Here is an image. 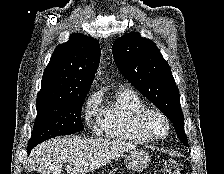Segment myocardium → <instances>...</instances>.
<instances>
[{
  "instance_id": "myocardium-1",
  "label": "myocardium",
  "mask_w": 224,
  "mask_h": 174,
  "mask_svg": "<svg viewBox=\"0 0 224 174\" xmlns=\"http://www.w3.org/2000/svg\"><path fill=\"white\" fill-rule=\"evenodd\" d=\"M156 115L159 116L166 125V132L163 135H156L154 134L148 125V120L150 116ZM137 127L139 131L147 137L151 141H159L165 139L171 130V124L169 118L166 116L165 113H163L161 110L156 109V108H150L146 107L144 108L137 116Z\"/></svg>"
}]
</instances>
